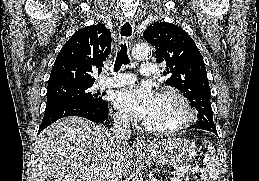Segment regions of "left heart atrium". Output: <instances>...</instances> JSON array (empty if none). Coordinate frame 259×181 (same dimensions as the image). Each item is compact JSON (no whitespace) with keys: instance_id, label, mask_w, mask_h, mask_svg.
<instances>
[{"instance_id":"1","label":"left heart atrium","mask_w":259,"mask_h":181,"mask_svg":"<svg viewBox=\"0 0 259 181\" xmlns=\"http://www.w3.org/2000/svg\"><path fill=\"white\" fill-rule=\"evenodd\" d=\"M157 98L148 87L130 86L116 91L113 105L123 114L147 122L156 107Z\"/></svg>"}]
</instances>
